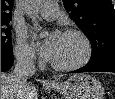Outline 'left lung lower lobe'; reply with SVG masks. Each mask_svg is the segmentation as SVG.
<instances>
[{
  "instance_id": "obj_1",
  "label": "left lung lower lobe",
  "mask_w": 115,
  "mask_h": 99,
  "mask_svg": "<svg viewBox=\"0 0 115 99\" xmlns=\"http://www.w3.org/2000/svg\"><path fill=\"white\" fill-rule=\"evenodd\" d=\"M114 72L115 73V57L108 58L95 63H88L84 67L72 71L71 73H79V72Z\"/></svg>"
}]
</instances>
